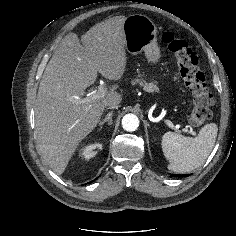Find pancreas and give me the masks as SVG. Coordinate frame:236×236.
Returning <instances> with one entry per match:
<instances>
[{"label":"pancreas","mask_w":236,"mask_h":236,"mask_svg":"<svg viewBox=\"0 0 236 236\" xmlns=\"http://www.w3.org/2000/svg\"><path fill=\"white\" fill-rule=\"evenodd\" d=\"M131 83H132V85H135L136 83H139V85H141V86H143V85H147L146 82L141 81V80H138V79L135 80V81H132ZM150 85H152V84L150 83Z\"/></svg>","instance_id":"cf45deb5"}]
</instances>
